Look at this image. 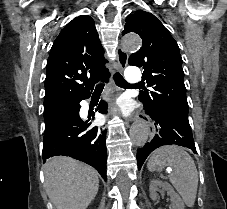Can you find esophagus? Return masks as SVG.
<instances>
[{"instance_id":"34e87169","label":"esophagus","mask_w":227,"mask_h":209,"mask_svg":"<svg viewBox=\"0 0 227 209\" xmlns=\"http://www.w3.org/2000/svg\"><path fill=\"white\" fill-rule=\"evenodd\" d=\"M117 61L119 64V71L122 72L128 64L129 54L123 50L121 47H118L116 50ZM137 121L142 122V128H146L147 132V142H152L153 138L156 137V125L153 124L150 116H145L144 112H138L136 116Z\"/></svg>"}]
</instances>
